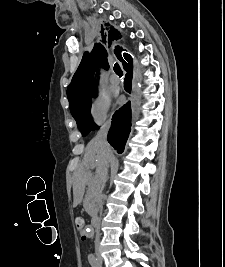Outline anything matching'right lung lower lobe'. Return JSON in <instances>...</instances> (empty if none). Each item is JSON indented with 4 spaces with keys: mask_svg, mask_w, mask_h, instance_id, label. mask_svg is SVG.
Masks as SVG:
<instances>
[{
    "mask_svg": "<svg viewBox=\"0 0 225 267\" xmlns=\"http://www.w3.org/2000/svg\"><path fill=\"white\" fill-rule=\"evenodd\" d=\"M125 70L127 71V74L124 82V87L126 91H129L131 88L132 79V63H129ZM130 119V103L124 105L113 116L112 126L108 133L107 139L108 142L118 151V153H122L124 150V146L129 135Z\"/></svg>",
    "mask_w": 225,
    "mask_h": 267,
    "instance_id": "98d812e1",
    "label": "right lung lower lobe"
}]
</instances>
